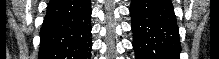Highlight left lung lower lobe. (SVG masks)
Returning a JSON list of instances; mask_svg holds the SVG:
<instances>
[{
    "label": "left lung lower lobe",
    "instance_id": "left-lung-lower-lobe-1",
    "mask_svg": "<svg viewBox=\"0 0 219 59\" xmlns=\"http://www.w3.org/2000/svg\"><path fill=\"white\" fill-rule=\"evenodd\" d=\"M130 14L136 59H179V31L170 0H132Z\"/></svg>",
    "mask_w": 219,
    "mask_h": 59
}]
</instances>
